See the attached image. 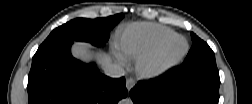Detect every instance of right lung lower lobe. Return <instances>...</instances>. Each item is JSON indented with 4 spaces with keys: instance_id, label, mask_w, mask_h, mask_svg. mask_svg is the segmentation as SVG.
<instances>
[{
    "instance_id": "obj_1",
    "label": "right lung lower lobe",
    "mask_w": 252,
    "mask_h": 104,
    "mask_svg": "<svg viewBox=\"0 0 252 104\" xmlns=\"http://www.w3.org/2000/svg\"><path fill=\"white\" fill-rule=\"evenodd\" d=\"M71 45L35 53L28 76L29 104H116L127 96L124 77L109 78L94 63L75 59Z\"/></svg>"
}]
</instances>
